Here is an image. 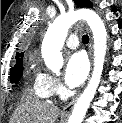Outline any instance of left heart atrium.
<instances>
[{
    "label": "left heart atrium",
    "mask_w": 122,
    "mask_h": 123,
    "mask_svg": "<svg viewBox=\"0 0 122 123\" xmlns=\"http://www.w3.org/2000/svg\"><path fill=\"white\" fill-rule=\"evenodd\" d=\"M89 72V63L84 53L77 52L68 57L66 62L64 81L70 88L80 86Z\"/></svg>",
    "instance_id": "left-heart-atrium-1"
}]
</instances>
